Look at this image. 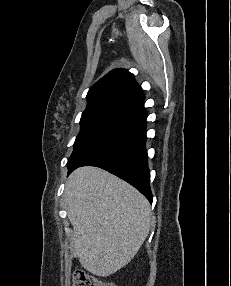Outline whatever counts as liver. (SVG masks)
I'll return each instance as SVG.
<instances>
[{
  "instance_id": "1",
  "label": "liver",
  "mask_w": 231,
  "mask_h": 286,
  "mask_svg": "<svg viewBox=\"0 0 231 286\" xmlns=\"http://www.w3.org/2000/svg\"><path fill=\"white\" fill-rule=\"evenodd\" d=\"M64 198L80 264L93 275L107 277L126 266L148 236V200L105 170L76 169Z\"/></svg>"
}]
</instances>
